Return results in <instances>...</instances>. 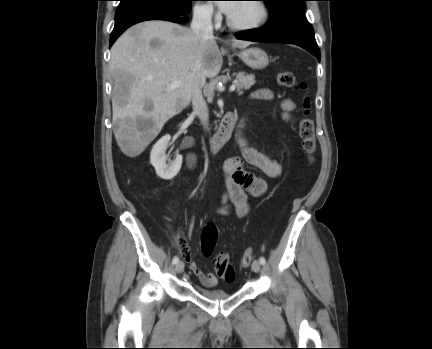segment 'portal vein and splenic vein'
<instances>
[{
	"label": "portal vein and splenic vein",
	"instance_id": "1",
	"mask_svg": "<svg viewBox=\"0 0 432 349\" xmlns=\"http://www.w3.org/2000/svg\"><path fill=\"white\" fill-rule=\"evenodd\" d=\"M180 85H181L180 81H175L169 85L168 89H175V88L179 87ZM235 89H236V85L233 84L230 86L229 91L233 92Z\"/></svg>",
	"mask_w": 432,
	"mask_h": 349
}]
</instances>
